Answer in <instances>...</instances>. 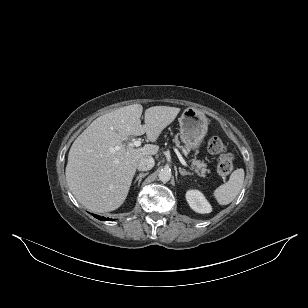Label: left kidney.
<instances>
[{
    "label": "left kidney",
    "instance_id": "5707ae66",
    "mask_svg": "<svg viewBox=\"0 0 308 308\" xmlns=\"http://www.w3.org/2000/svg\"><path fill=\"white\" fill-rule=\"evenodd\" d=\"M186 199L189 206L198 213H210L211 205L205 199L204 195L198 190H190L186 193Z\"/></svg>",
    "mask_w": 308,
    "mask_h": 308
}]
</instances>
